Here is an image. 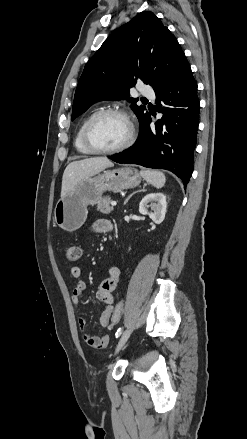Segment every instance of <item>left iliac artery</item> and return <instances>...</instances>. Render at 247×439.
<instances>
[{"label": "left iliac artery", "mask_w": 247, "mask_h": 439, "mask_svg": "<svg viewBox=\"0 0 247 439\" xmlns=\"http://www.w3.org/2000/svg\"><path fill=\"white\" fill-rule=\"evenodd\" d=\"M121 333H122V328H119L115 334L116 338H118L121 335Z\"/></svg>", "instance_id": "left-iliac-artery-1"}]
</instances>
